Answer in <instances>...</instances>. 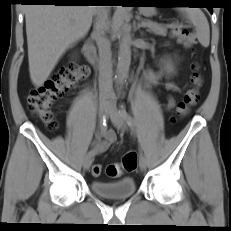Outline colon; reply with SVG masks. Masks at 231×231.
<instances>
[{"label": "colon", "instance_id": "obj_1", "mask_svg": "<svg viewBox=\"0 0 231 231\" xmlns=\"http://www.w3.org/2000/svg\"><path fill=\"white\" fill-rule=\"evenodd\" d=\"M171 35L179 42L186 46H194L197 44L196 36L189 31L185 26L172 21L169 24ZM88 75L86 66L71 63L52 76L41 86L32 89L28 95V106L50 130L54 131L58 128V123L54 118L52 107L54 103L65 96L70 90L78 86ZM193 87L184 95L183 99L177 104L178 116H183L188 113L200 98L199 88L202 84V77L197 69L192 75ZM137 168V153L134 151L127 152L122 163H113L107 166L106 174L109 177H120L124 171L132 172ZM92 175L98 177L102 173V166L95 164L92 167Z\"/></svg>", "mask_w": 231, "mask_h": 231}]
</instances>
